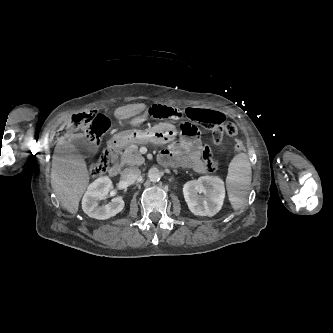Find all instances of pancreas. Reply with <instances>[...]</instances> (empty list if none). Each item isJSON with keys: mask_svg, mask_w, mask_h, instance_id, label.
<instances>
[{"mask_svg": "<svg viewBox=\"0 0 333 333\" xmlns=\"http://www.w3.org/2000/svg\"><path fill=\"white\" fill-rule=\"evenodd\" d=\"M145 161L144 157L139 153L138 146L132 144L128 146L121 156V163L124 165H141Z\"/></svg>", "mask_w": 333, "mask_h": 333, "instance_id": "cf45deb5", "label": "pancreas"}]
</instances>
